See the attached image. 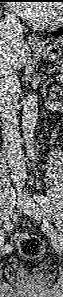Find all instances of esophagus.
I'll return each instance as SVG.
<instances>
[{
	"label": "esophagus",
	"mask_w": 63,
	"mask_h": 297,
	"mask_svg": "<svg viewBox=\"0 0 63 297\" xmlns=\"http://www.w3.org/2000/svg\"><path fill=\"white\" fill-rule=\"evenodd\" d=\"M29 44L34 48H44V45L41 43L39 35L32 33L29 37Z\"/></svg>",
	"instance_id": "34e87169"
}]
</instances>
